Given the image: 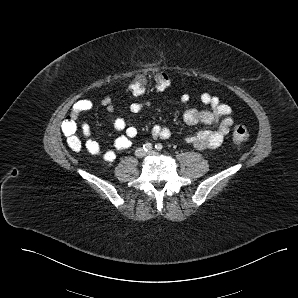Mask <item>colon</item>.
I'll return each mask as SVG.
<instances>
[{"label": "colon", "instance_id": "colon-1", "mask_svg": "<svg viewBox=\"0 0 298 298\" xmlns=\"http://www.w3.org/2000/svg\"><path fill=\"white\" fill-rule=\"evenodd\" d=\"M155 87L163 91L170 85V77L165 71H157L154 74ZM149 84L148 75L144 72H138L133 77L128 86V91L134 96H142L146 91ZM62 131L66 136L68 146L74 151H79L82 147V140L80 134H87V127L78 123L77 118L68 115L62 123ZM249 138V131L246 126L236 124L232 130V142L240 146L245 143Z\"/></svg>", "mask_w": 298, "mask_h": 298}]
</instances>
